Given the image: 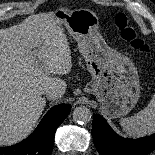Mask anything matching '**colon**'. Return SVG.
<instances>
[{
  "label": "colon",
  "instance_id": "colon-1",
  "mask_svg": "<svg viewBox=\"0 0 155 155\" xmlns=\"http://www.w3.org/2000/svg\"><path fill=\"white\" fill-rule=\"evenodd\" d=\"M115 24L121 37L127 41L133 49L144 54L150 52L149 45L143 39L138 37L135 30L128 25V18L126 15L118 14L115 19Z\"/></svg>",
  "mask_w": 155,
  "mask_h": 155
}]
</instances>
